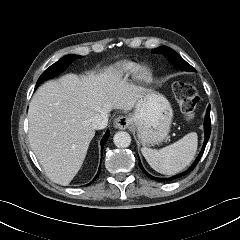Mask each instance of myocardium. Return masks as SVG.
<instances>
[{
  "instance_id": "myocardium-1",
  "label": "myocardium",
  "mask_w": 240,
  "mask_h": 240,
  "mask_svg": "<svg viewBox=\"0 0 240 240\" xmlns=\"http://www.w3.org/2000/svg\"><path fill=\"white\" fill-rule=\"evenodd\" d=\"M151 75V69L147 65H138L135 69L134 76L137 80L145 81Z\"/></svg>"
}]
</instances>
